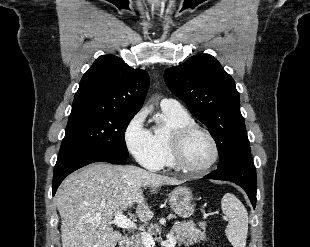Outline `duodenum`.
<instances>
[{
  "label": "duodenum",
  "mask_w": 310,
  "mask_h": 247,
  "mask_svg": "<svg viewBox=\"0 0 310 247\" xmlns=\"http://www.w3.org/2000/svg\"><path fill=\"white\" fill-rule=\"evenodd\" d=\"M118 247H130L129 238L126 236H123L118 242Z\"/></svg>",
  "instance_id": "410a0bca"
}]
</instances>
